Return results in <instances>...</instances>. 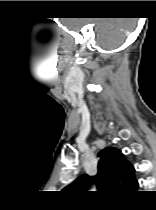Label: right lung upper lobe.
Instances as JSON below:
<instances>
[{"label":"right lung upper lobe","instance_id":"1","mask_svg":"<svg viewBox=\"0 0 156 210\" xmlns=\"http://www.w3.org/2000/svg\"><path fill=\"white\" fill-rule=\"evenodd\" d=\"M98 156V173L96 176L82 175L69 187L75 190H86L89 184L95 183L98 190L114 192L128 196L136 192L138 182L134 176V167L125 159L120 150L106 147Z\"/></svg>","mask_w":156,"mask_h":210}]
</instances>
